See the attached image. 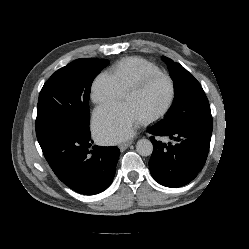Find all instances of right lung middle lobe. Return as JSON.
<instances>
[{
	"mask_svg": "<svg viewBox=\"0 0 249 249\" xmlns=\"http://www.w3.org/2000/svg\"><path fill=\"white\" fill-rule=\"evenodd\" d=\"M108 63L106 59H77L48 79L37 104L39 144L57 134L90 130L88 100L91 83Z\"/></svg>",
	"mask_w": 249,
	"mask_h": 249,
	"instance_id": "1",
	"label": "right lung middle lobe"
}]
</instances>
